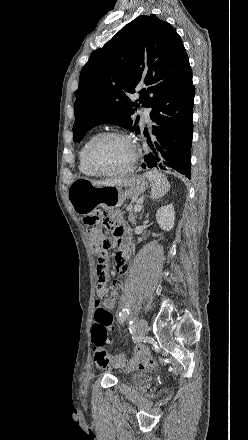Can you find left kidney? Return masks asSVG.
<instances>
[{
    "label": "left kidney",
    "mask_w": 248,
    "mask_h": 440,
    "mask_svg": "<svg viewBox=\"0 0 248 440\" xmlns=\"http://www.w3.org/2000/svg\"><path fill=\"white\" fill-rule=\"evenodd\" d=\"M156 220L163 230L170 231L175 222V211L173 205L169 204L158 209L156 213Z\"/></svg>",
    "instance_id": "1"
}]
</instances>
